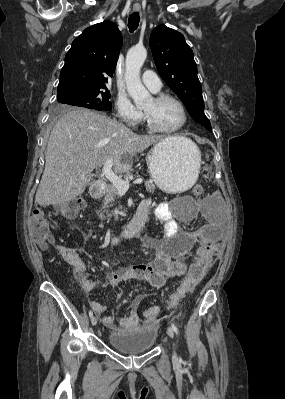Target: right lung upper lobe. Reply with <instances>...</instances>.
Instances as JSON below:
<instances>
[{
  "instance_id": "right-lung-upper-lobe-1",
  "label": "right lung upper lobe",
  "mask_w": 285,
  "mask_h": 399,
  "mask_svg": "<svg viewBox=\"0 0 285 399\" xmlns=\"http://www.w3.org/2000/svg\"><path fill=\"white\" fill-rule=\"evenodd\" d=\"M121 47L122 35L115 23L107 20L86 28L65 56L58 93L106 88Z\"/></svg>"
}]
</instances>
